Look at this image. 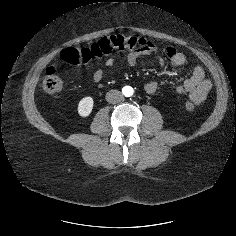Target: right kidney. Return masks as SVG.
<instances>
[{
  "instance_id": "right-kidney-1",
  "label": "right kidney",
  "mask_w": 236,
  "mask_h": 236,
  "mask_svg": "<svg viewBox=\"0 0 236 236\" xmlns=\"http://www.w3.org/2000/svg\"><path fill=\"white\" fill-rule=\"evenodd\" d=\"M94 101L92 97H84L78 104V114L81 117H87L91 114Z\"/></svg>"
}]
</instances>
